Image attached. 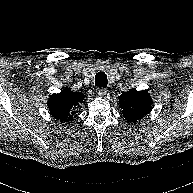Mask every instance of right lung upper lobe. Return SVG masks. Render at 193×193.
I'll return each mask as SVG.
<instances>
[{"label": "right lung upper lobe", "instance_id": "right-lung-upper-lobe-1", "mask_svg": "<svg viewBox=\"0 0 193 193\" xmlns=\"http://www.w3.org/2000/svg\"><path fill=\"white\" fill-rule=\"evenodd\" d=\"M86 96L82 92H73L69 88L53 94L48 100L50 114L60 121H70L75 114L74 109L83 102Z\"/></svg>", "mask_w": 193, "mask_h": 193}]
</instances>
